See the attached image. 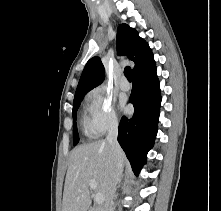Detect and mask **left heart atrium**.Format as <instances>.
<instances>
[{"label":"left heart atrium","instance_id":"left-heart-atrium-1","mask_svg":"<svg viewBox=\"0 0 221 211\" xmlns=\"http://www.w3.org/2000/svg\"><path fill=\"white\" fill-rule=\"evenodd\" d=\"M121 107H122V109H123L124 111L127 110V107H126V105H125L123 102L121 103Z\"/></svg>","mask_w":221,"mask_h":211}]
</instances>
